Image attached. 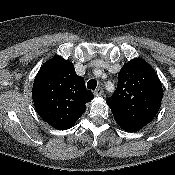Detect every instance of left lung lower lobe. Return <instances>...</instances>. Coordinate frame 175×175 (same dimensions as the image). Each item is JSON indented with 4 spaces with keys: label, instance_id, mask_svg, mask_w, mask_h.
I'll use <instances>...</instances> for the list:
<instances>
[{
    "label": "left lung lower lobe",
    "instance_id": "0a47b994",
    "mask_svg": "<svg viewBox=\"0 0 175 175\" xmlns=\"http://www.w3.org/2000/svg\"><path fill=\"white\" fill-rule=\"evenodd\" d=\"M116 122L122 129L128 132H136L141 128H143V126L141 125H137L129 122H124V121H116Z\"/></svg>",
    "mask_w": 175,
    "mask_h": 175
}]
</instances>
